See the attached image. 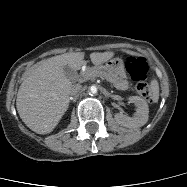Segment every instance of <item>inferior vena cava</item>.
<instances>
[{
    "mask_svg": "<svg viewBox=\"0 0 187 187\" xmlns=\"http://www.w3.org/2000/svg\"><path fill=\"white\" fill-rule=\"evenodd\" d=\"M82 89V86L80 84H74L72 85L71 87V90H70V95H76L78 94Z\"/></svg>",
    "mask_w": 187,
    "mask_h": 187,
    "instance_id": "1",
    "label": "inferior vena cava"
}]
</instances>
